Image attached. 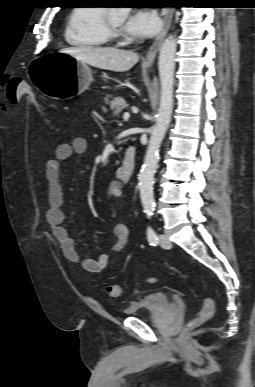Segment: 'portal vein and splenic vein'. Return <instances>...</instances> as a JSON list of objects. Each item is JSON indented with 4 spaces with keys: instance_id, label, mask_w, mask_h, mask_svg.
<instances>
[{
    "instance_id": "obj_1",
    "label": "portal vein and splenic vein",
    "mask_w": 255,
    "mask_h": 387,
    "mask_svg": "<svg viewBox=\"0 0 255 387\" xmlns=\"http://www.w3.org/2000/svg\"><path fill=\"white\" fill-rule=\"evenodd\" d=\"M129 117H130L129 112H125L124 115H123V118L124 119H128Z\"/></svg>"
}]
</instances>
